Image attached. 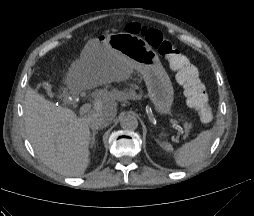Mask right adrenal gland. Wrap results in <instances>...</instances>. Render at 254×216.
Here are the masks:
<instances>
[{
  "label": "right adrenal gland",
  "mask_w": 254,
  "mask_h": 216,
  "mask_svg": "<svg viewBox=\"0 0 254 216\" xmlns=\"http://www.w3.org/2000/svg\"><path fill=\"white\" fill-rule=\"evenodd\" d=\"M98 133V131H93L91 135V141H92V147L95 145V135Z\"/></svg>",
  "instance_id": "2a0ac1e0"
}]
</instances>
